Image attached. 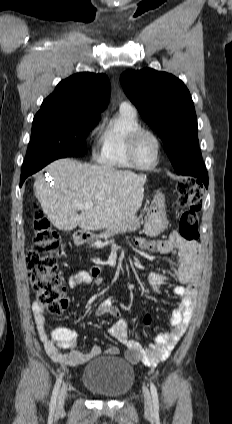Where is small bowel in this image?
Returning <instances> with one entry per match:
<instances>
[{"instance_id": "small-bowel-1", "label": "small bowel", "mask_w": 232, "mask_h": 424, "mask_svg": "<svg viewBox=\"0 0 232 424\" xmlns=\"http://www.w3.org/2000/svg\"><path fill=\"white\" fill-rule=\"evenodd\" d=\"M136 247L157 252L163 255H175L178 269L175 276L181 283L173 288V292L180 298L179 305L171 312V331L159 334L149 347H142L136 340L129 337L128 324L120 317V310L114 305L112 298H105L96 309V316L111 315L117 318L110 327L109 334L127 351L125 358L131 363H142L147 367H155L165 361L183 334L185 333L196 305L198 275L201 267V248L197 243L185 244L177 233H172L166 239L148 240L136 237ZM148 284L156 294H160V285L169 280V276L160 272H150ZM102 278L85 270L71 274L67 286L62 287V294L68 289H75L84 285H100ZM68 308V300L63 299V309ZM33 314L39 337L47 354L57 363L74 366L88 362L102 354L98 345H93L88 352L76 348L78 334L75 330L66 327H55L49 332L46 330V316L44 310L33 304ZM119 350L116 346H109L104 350L107 355H116Z\"/></svg>"}]
</instances>
